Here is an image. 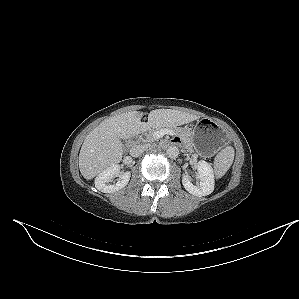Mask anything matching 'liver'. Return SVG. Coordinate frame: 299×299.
<instances>
[{
  "label": "liver",
  "instance_id": "1",
  "mask_svg": "<svg viewBox=\"0 0 299 299\" xmlns=\"http://www.w3.org/2000/svg\"><path fill=\"white\" fill-rule=\"evenodd\" d=\"M142 112L130 111L102 121L85 138L80 154L82 176L93 179L102 171L122 160L124 148L121 139H129L149 128H164L193 122L195 114L171 109H156L148 114V122H141Z\"/></svg>",
  "mask_w": 299,
  "mask_h": 299
}]
</instances>
